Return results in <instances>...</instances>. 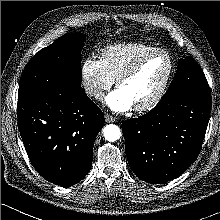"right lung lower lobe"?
<instances>
[{
    "label": "right lung lower lobe",
    "mask_w": 220,
    "mask_h": 220,
    "mask_svg": "<svg viewBox=\"0 0 220 220\" xmlns=\"http://www.w3.org/2000/svg\"><path fill=\"white\" fill-rule=\"evenodd\" d=\"M17 117L28 157L43 178L66 187L86 176L104 114L83 88L18 98Z\"/></svg>",
    "instance_id": "right-lung-lower-lobe-1"
}]
</instances>
